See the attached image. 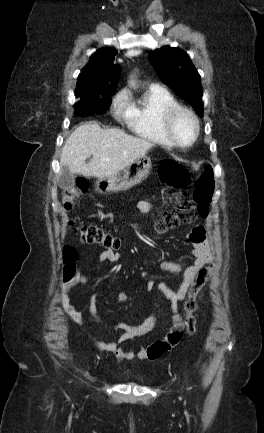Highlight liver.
Masks as SVG:
<instances>
[{"mask_svg":"<svg viewBox=\"0 0 264 433\" xmlns=\"http://www.w3.org/2000/svg\"><path fill=\"white\" fill-rule=\"evenodd\" d=\"M153 147L152 142L121 129H102L95 122L83 123L65 141L60 163L71 174L104 179L118 175ZM91 155L93 158L87 164L85 161Z\"/></svg>","mask_w":264,"mask_h":433,"instance_id":"obj_1","label":"liver"}]
</instances>
